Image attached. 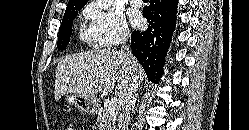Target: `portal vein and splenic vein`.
<instances>
[{"mask_svg":"<svg viewBox=\"0 0 249 130\" xmlns=\"http://www.w3.org/2000/svg\"><path fill=\"white\" fill-rule=\"evenodd\" d=\"M119 102L118 99H114L109 103L108 111L110 114H116L119 110Z\"/></svg>","mask_w":249,"mask_h":130,"instance_id":"obj_1","label":"portal vein and splenic vein"}]
</instances>
